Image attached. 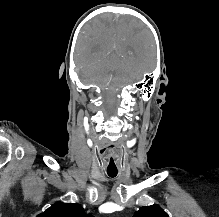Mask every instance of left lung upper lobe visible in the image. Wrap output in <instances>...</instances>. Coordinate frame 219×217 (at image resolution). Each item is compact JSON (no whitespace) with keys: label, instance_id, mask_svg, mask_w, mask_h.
I'll return each mask as SVG.
<instances>
[{"label":"left lung upper lobe","instance_id":"5c2ea615","mask_svg":"<svg viewBox=\"0 0 219 217\" xmlns=\"http://www.w3.org/2000/svg\"><path fill=\"white\" fill-rule=\"evenodd\" d=\"M133 217H169L168 214L158 205L141 207Z\"/></svg>","mask_w":219,"mask_h":217}]
</instances>
